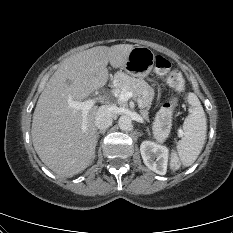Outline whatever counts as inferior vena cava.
Segmentation results:
<instances>
[{"mask_svg":"<svg viewBox=\"0 0 233 233\" xmlns=\"http://www.w3.org/2000/svg\"><path fill=\"white\" fill-rule=\"evenodd\" d=\"M114 116L115 112L113 107L108 105L99 107L95 116V126L100 130H105L112 125Z\"/></svg>","mask_w":233,"mask_h":233,"instance_id":"obj_1","label":"inferior vena cava"}]
</instances>
